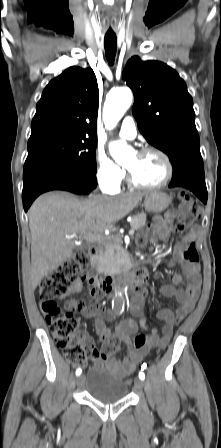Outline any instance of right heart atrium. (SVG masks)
<instances>
[{"instance_id": "obj_1", "label": "right heart atrium", "mask_w": 221, "mask_h": 448, "mask_svg": "<svg viewBox=\"0 0 221 448\" xmlns=\"http://www.w3.org/2000/svg\"><path fill=\"white\" fill-rule=\"evenodd\" d=\"M95 173L99 186L107 192L117 191L125 177V171L103 152L96 156Z\"/></svg>"}]
</instances>
